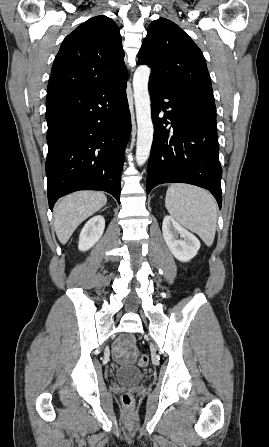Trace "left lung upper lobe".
<instances>
[{
  "mask_svg": "<svg viewBox=\"0 0 269 447\" xmlns=\"http://www.w3.org/2000/svg\"><path fill=\"white\" fill-rule=\"evenodd\" d=\"M147 31L138 59L151 67L149 82L183 97L198 113L216 117L210 76L198 46L164 18L153 21Z\"/></svg>",
  "mask_w": 269,
  "mask_h": 447,
  "instance_id": "obj_1",
  "label": "left lung upper lobe"
}]
</instances>
